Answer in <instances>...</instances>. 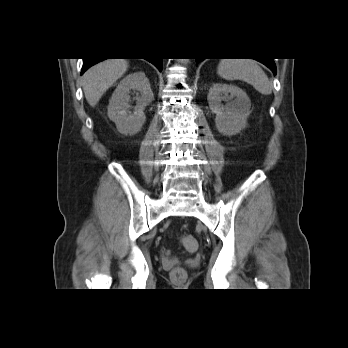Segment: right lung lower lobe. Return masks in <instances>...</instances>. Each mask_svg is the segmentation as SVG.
I'll return each instance as SVG.
<instances>
[{
    "label": "right lung lower lobe",
    "mask_w": 348,
    "mask_h": 348,
    "mask_svg": "<svg viewBox=\"0 0 348 348\" xmlns=\"http://www.w3.org/2000/svg\"><path fill=\"white\" fill-rule=\"evenodd\" d=\"M103 59H96V58H85L83 59V67L81 71V75L92 65L102 61ZM152 64H154L160 71L162 70V59H147Z\"/></svg>",
    "instance_id": "1"
}]
</instances>
